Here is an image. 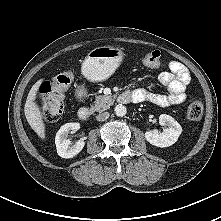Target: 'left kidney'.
<instances>
[{"label": "left kidney", "instance_id": "obj_1", "mask_svg": "<svg viewBox=\"0 0 221 221\" xmlns=\"http://www.w3.org/2000/svg\"><path fill=\"white\" fill-rule=\"evenodd\" d=\"M159 123L165 126L163 132H158V130L146 131V140L157 147H168L173 145L179 138L182 127L181 125L171 116L162 114L159 116Z\"/></svg>", "mask_w": 221, "mask_h": 221}]
</instances>
